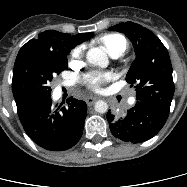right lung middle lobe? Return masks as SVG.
Listing matches in <instances>:
<instances>
[{
	"mask_svg": "<svg viewBox=\"0 0 187 187\" xmlns=\"http://www.w3.org/2000/svg\"><path fill=\"white\" fill-rule=\"evenodd\" d=\"M67 52L20 50L15 60L12 91L16 105L50 95L49 83L67 69Z\"/></svg>",
	"mask_w": 187,
	"mask_h": 187,
	"instance_id": "obj_1",
	"label": "right lung middle lobe"
}]
</instances>
